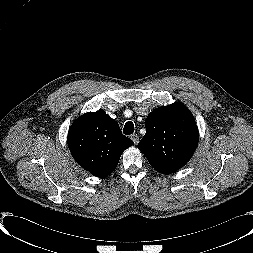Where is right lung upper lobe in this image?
Listing matches in <instances>:
<instances>
[{
	"mask_svg": "<svg viewBox=\"0 0 253 253\" xmlns=\"http://www.w3.org/2000/svg\"><path fill=\"white\" fill-rule=\"evenodd\" d=\"M67 139L76 162L100 178L110 175L123 151L134 144L103 110L78 118L71 125Z\"/></svg>",
	"mask_w": 253,
	"mask_h": 253,
	"instance_id": "right-lung-upper-lobe-1",
	"label": "right lung upper lobe"
}]
</instances>
